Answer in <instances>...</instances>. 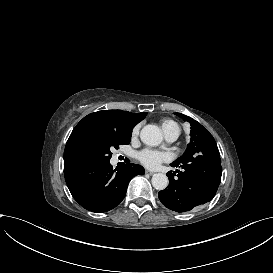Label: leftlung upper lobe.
<instances>
[{"label": "left lung upper lobe", "instance_id": "1", "mask_svg": "<svg viewBox=\"0 0 273 273\" xmlns=\"http://www.w3.org/2000/svg\"><path fill=\"white\" fill-rule=\"evenodd\" d=\"M179 117L183 118L191 125V141L185 153L178 158L175 162H181L187 158L203 155L206 157H220L218 147L215 139L210 132L205 129L198 121L193 118H189L181 113H175Z\"/></svg>", "mask_w": 273, "mask_h": 273}]
</instances>
